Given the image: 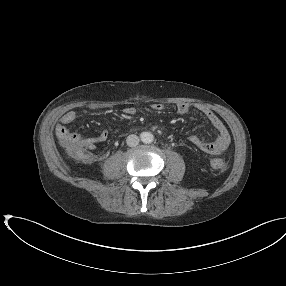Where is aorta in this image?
I'll use <instances>...</instances> for the list:
<instances>
[{"label": "aorta", "mask_w": 286, "mask_h": 286, "mask_svg": "<svg viewBox=\"0 0 286 286\" xmlns=\"http://www.w3.org/2000/svg\"><path fill=\"white\" fill-rule=\"evenodd\" d=\"M141 140L145 144H150V143L153 142L154 136H153V134L151 132H143L141 134Z\"/></svg>", "instance_id": "1"}]
</instances>
